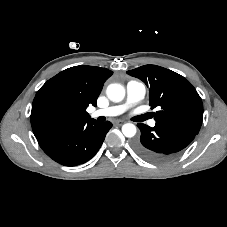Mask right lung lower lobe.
<instances>
[{
    "mask_svg": "<svg viewBox=\"0 0 227 227\" xmlns=\"http://www.w3.org/2000/svg\"><path fill=\"white\" fill-rule=\"evenodd\" d=\"M112 124L94 120L54 129L36 138L42 150L54 161L76 166L90 160L100 149Z\"/></svg>",
    "mask_w": 227,
    "mask_h": 227,
    "instance_id": "obj_1",
    "label": "right lung lower lobe"
}]
</instances>
